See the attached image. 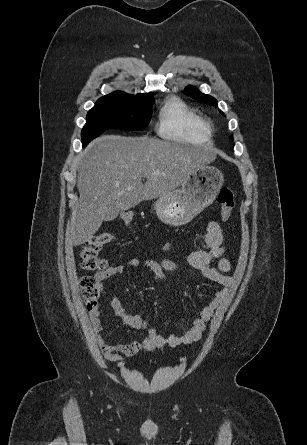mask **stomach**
<instances>
[{"mask_svg":"<svg viewBox=\"0 0 307 445\" xmlns=\"http://www.w3.org/2000/svg\"><path fill=\"white\" fill-rule=\"evenodd\" d=\"M224 176L215 166L202 164L189 174L179 190L159 196L153 208L162 223L169 227H182L215 200Z\"/></svg>","mask_w":307,"mask_h":445,"instance_id":"stomach-1","label":"stomach"}]
</instances>
